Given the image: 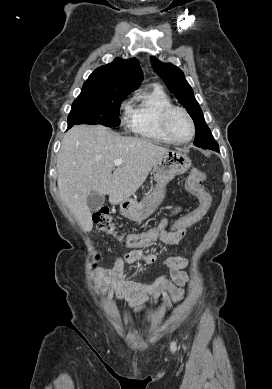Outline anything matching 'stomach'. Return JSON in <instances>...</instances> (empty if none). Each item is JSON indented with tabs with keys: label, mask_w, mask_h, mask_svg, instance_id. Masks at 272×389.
<instances>
[{
	"label": "stomach",
	"mask_w": 272,
	"mask_h": 389,
	"mask_svg": "<svg viewBox=\"0 0 272 389\" xmlns=\"http://www.w3.org/2000/svg\"><path fill=\"white\" fill-rule=\"evenodd\" d=\"M191 167L190 158L179 151H168L154 165L155 188L138 202L125 199L120 203L121 213L133 221L148 218L165 197V187L177 175L184 174Z\"/></svg>",
	"instance_id": "stomach-1"
}]
</instances>
